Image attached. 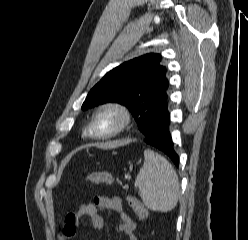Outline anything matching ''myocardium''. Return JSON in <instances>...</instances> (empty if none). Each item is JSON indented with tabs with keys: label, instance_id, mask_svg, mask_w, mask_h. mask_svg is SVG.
<instances>
[{
	"label": "myocardium",
	"instance_id": "f54148a6",
	"mask_svg": "<svg viewBox=\"0 0 248 240\" xmlns=\"http://www.w3.org/2000/svg\"><path fill=\"white\" fill-rule=\"evenodd\" d=\"M113 111L120 117L119 125L110 132L98 134L94 131V124L96 117L103 111ZM131 112L127 106L124 104L117 102V101H106L101 103L93 112L90 123H89V134L92 137L99 138V139H107L114 137L124 131L131 122Z\"/></svg>",
	"mask_w": 248,
	"mask_h": 240
}]
</instances>
